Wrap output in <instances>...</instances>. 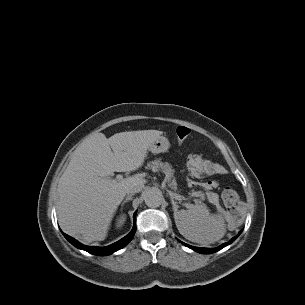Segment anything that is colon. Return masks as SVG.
<instances>
[{"mask_svg":"<svg viewBox=\"0 0 305 305\" xmlns=\"http://www.w3.org/2000/svg\"><path fill=\"white\" fill-rule=\"evenodd\" d=\"M190 133H191V131L188 127L178 126L176 128V136L180 143L185 141L189 137ZM238 198L239 197H238L237 192L231 188L225 189L222 193V200H223L225 206L227 207V209L229 210L231 217L237 216Z\"/></svg>","mask_w":305,"mask_h":305,"instance_id":"5ec220e1","label":"colon"}]
</instances>
